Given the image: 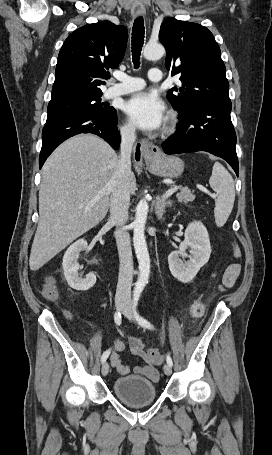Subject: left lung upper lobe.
<instances>
[{
    "label": "left lung upper lobe",
    "instance_id": "1",
    "mask_svg": "<svg viewBox=\"0 0 272 455\" xmlns=\"http://www.w3.org/2000/svg\"><path fill=\"white\" fill-rule=\"evenodd\" d=\"M159 39L166 48L167 69L172 76L181 74L182 87L167 94L179 114L205 101H230L220 48L206 27L168 18L161 24Z\"/></svg>",
    "mask_w": 272,
    "mask_h": 455
}]
</instances>
